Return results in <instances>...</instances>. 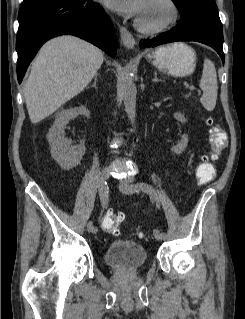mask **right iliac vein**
Returning <instances> with one entry per match:
<instances>
[{
    "label": "right iliac vein",
    "mask_w": 245,
    "mask_h": 319,
    "mask_svg": "<svg viewBox=\"0 0 245 319\" xmlns=\"http://www.w3.org/2000/svg\"><path fill=\"white\" fill-rule=\"evenodd\" d=\"M109 172H110V169L108 167H106L102 173L100 174V177H99V183H98V188H99V194L102 195V187L104 186V183L108 180L109 178ZM92 222H89L87 224V230L89 232H92Z\"/></svg>",
    "instance_id": "obj_1"
}]
</instances>
